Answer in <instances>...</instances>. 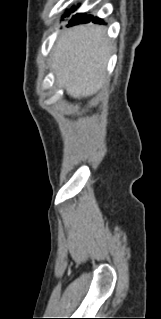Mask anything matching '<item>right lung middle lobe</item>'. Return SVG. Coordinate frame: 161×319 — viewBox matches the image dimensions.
<instances>
[{
  "instance_id": "obj_1",
  "label": "right lung middle lobe",
  "mask_w": 161,
  "mask_h": 319,
  "mask_svg": "<svg viewBox=\"0 0 161 319\" xmlns=\"http://www.w3.org/2000/svg\"><path fill=\"white\" fill-rule=\"evenodd\" d=\"M76 10L75 7H73L70 11H68L63 17H67L70 15L71 12H74ZM90 16H87L86 14H77L75 16H73V18L70 20V25H74V24H78L81 21L85 20V19H89Z\"/></svg>"
}]
</instances>
